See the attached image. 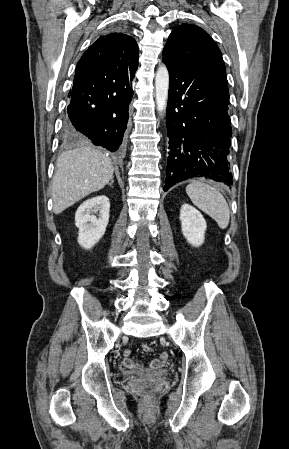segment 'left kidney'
<instances>
[{
    "instance_id": "obj_1",
    "label": "left kidney",
    "mask_w": 289,
    "mask_h": 449,
    "mask_svg": "<svg viewBox=\"0 0 289 449\" xmlns=\"http://www.w3.org/2000/svg\"><path fill=\"white\" fill-rule=\"evenodd\" d=\"M181 230L187 242L199 247L204 242L207 228L203 215L189 204H183L180 210Z\"/></svg>"
}]
</instances>
